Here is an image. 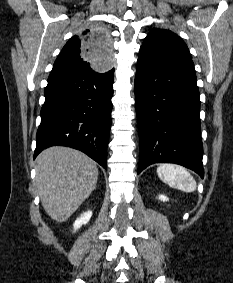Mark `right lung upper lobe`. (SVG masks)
Listing matches in <instances>:
<instances>
[{"label": "right lung upper lobe", "mask_w": 233, "mask_h": 283, "mask_svg": "<svg viewBox=\"0 0 233 283\" xmlns=\"http://www.w3.org/2000/svg\"><path fill=\"white\" fill-rule=\"evenodd\" d=\"M114 38H110L103 27L85 29L73 36L57 57L51 73L91 69L111 70L116 49H111Z\"/></svg>", "instance_id": "right-lung-upper-lobe-1"}]
</instances>
